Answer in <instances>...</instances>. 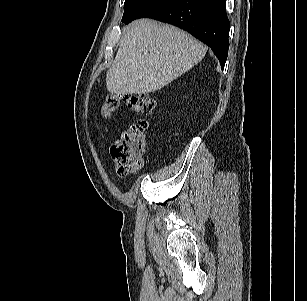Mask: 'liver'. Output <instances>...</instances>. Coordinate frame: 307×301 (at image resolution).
<instances>
[{"mask_svg":"<svg viewBox=\"0 0 307 301\" xmlns=\"http://www.w3.org/2000/svg\"><path fill=\"white\" fill-rule=\"evenodd\" d=\"M206 52V46L174 26L137 20L126 30L107 71V89L122 95L160 90L200 62Z\"/></svg>","mask_w":307,"mask_h":301,"instance_id":"1","label":"liver"}]
</instances>
